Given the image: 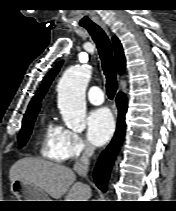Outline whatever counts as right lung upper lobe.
Returning a JSON list of instances; mask_svg holds the SVG:
<instances>
[{
    "label": "right lung upper lobe",
    "instance_id": "1",
    "mask_svg": "<svg viewBox=\"0 0 176 211\" xmlns=\"http://www.w3.org/2000/svg\"><path fill=\"white\" fill-rule=\"evenodd\" d=\"M112 41H113V45H114V52H115L117 71H118L119 74H123V72L125 70V57H124L122 45H121L120 41L116 37H113ZM61 65H62V62L57 64L46 75V77L44 78L40 89L38 90V92L36 93L34 98L31 100V102H30V104L28 106V109H27V111L25 113V116L33 114V113H37L39 111V108H40L39 102L41 101V99L46 94V92H47L52 80L54 79V77L58 73Z\"/></svg>",
    "mask_w": 176,
    "mask_h": 211
}]
</instances>
